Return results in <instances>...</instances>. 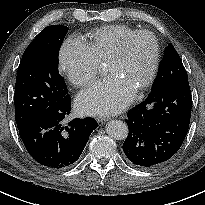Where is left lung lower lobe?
<instances>
[{
	"mask_svg": "<svg viewBox=\"0 0 205 205\" xmlns=\"http://www.w3.org/2000/svg\"><path fill=\"white\" fill-rule=\"evenodd\" d=\"M191 106L187 78L151 91L125 119L129 134L123 151L129 161L140 168H153L170 159L187 135Z\"/></svg>",
	"mask_w": 205,
	"mask_h": 205,
	"instance_id": "obj_1",
	"label": "left lung lower lobe"
}]
</instances>
